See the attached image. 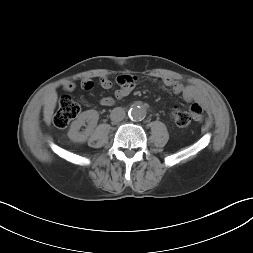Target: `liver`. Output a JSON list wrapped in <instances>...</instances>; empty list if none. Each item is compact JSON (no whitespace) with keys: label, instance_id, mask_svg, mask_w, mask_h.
I'll use <instances>...</instances> for the list:
<instances>
[{"label":"liver","instance_id":"liver-1","mask_svg":"<svg viewBox=\"0 0 253 253\" xmlns=\"http://www.w3.org/2000/svg\"><path fill=\"white\" fill-rule=\"evenodd\" d=\"M57 93L55 90L49 92L44 101L43 116L45 123L49 126L54 113L57 102Z\"/></svg>","mask_w":253,"mask_h":253}]
</instances>
